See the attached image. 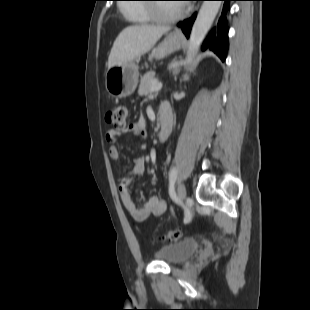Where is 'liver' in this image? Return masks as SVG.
<instances>
[{"label":"liver","instance_id":"obj_1","mask_svg":"<svg viewBox=\"0 0 310 310\" xmlns=\"http://www.w3.org/2000/svg\"><path fill=\"white\" fill-rule=\"evenodd\" d=\"M170 27L135 25L125 28L113 43L108 68L137 59L149 51Z\"/></svg>","mask_w":310,"mask_h":310}]
</instances>
